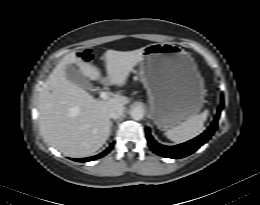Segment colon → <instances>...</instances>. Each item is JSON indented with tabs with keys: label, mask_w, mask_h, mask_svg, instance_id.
I'll list each match as a JSON object with an SVG mask.
<instances>
[{
	"label": "colon",
	"mask_w": 260,
	"mask_h": 205,
	"mask_svg": "<svg viewBox=\"0 0 260 205\" xmlns=\"http://www.w3.org/2000/svg\"><path fill=\"white\" fill-rule=\"evenodd\" d=\"M85 58L86 59H90L91 58V52L89 50L86 51Z\"/></svg>",
	"instance_id": "obj_1"
}]
</instances>
